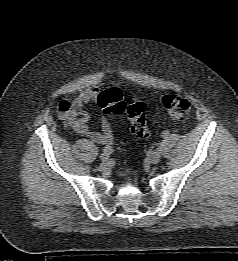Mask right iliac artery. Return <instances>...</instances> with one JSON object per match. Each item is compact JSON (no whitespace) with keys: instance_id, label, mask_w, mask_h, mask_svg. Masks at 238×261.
Returning a JSON list of instances; mask_svg holds the SVG:
<instances>
[{"instance_id":"obj_1","label":"right iliac artery","mask_w":238,"mask_h":261,"mask_svg":"<svg viewBox=\"0 0 238 261\" xmlns=\"http://www.w3.org/2000/svg\"><path fill=\"white\" fill-rule=\"evenodd\" d=\"M103 151H104L105 153H107L108 155L111 154V153H113V149H112L111 147H109V146L104 147V148H103Z\"/></svg>"}]
</instances>
